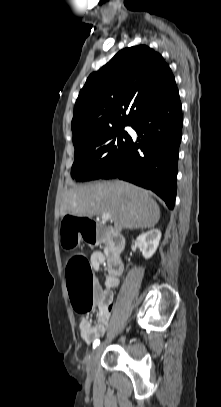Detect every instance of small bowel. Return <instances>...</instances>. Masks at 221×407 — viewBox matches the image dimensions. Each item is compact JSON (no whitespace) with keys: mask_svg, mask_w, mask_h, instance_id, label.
I'll return each mask as SVG.
<instances>
[{"mask_svg":"<svg viewBox=\"0 0 221 407\" xmlns=\"http://www.w3.org/2000/svg\"><path fill=\"white\" fill-rule=\"evenodd\" d=\"M91 266L95 271H99L105 262L103 253L96 251L90 258ZM118 275L108 273L104 277V289L95 287V308L98 313V320L92 323L88 318L81 317L78 320L81 336L83 340L90 343L93 339L102 336L107 329L111 312L114 308L112 289L119 285Z\"/></svg>","mask_w":221,"mask_h":407,"instance_id":"1","label":"small bowel"}]
</instances>
